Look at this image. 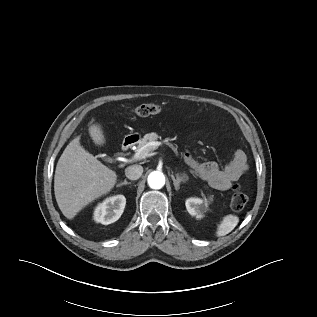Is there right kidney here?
I'll use <instances>...</instances> for the list:
<instances>
[{
	"instance_id": "ca27d5eb",
	"label": "right kidney",
	"mask_w": 317,
	"mask_h": 317,
	"mask_svg": "<svg viewBox=\"0 0 317 317\" xmlns=\"http://www.w3.org/2000/svg\"><path fill=\"white\" fill-rule=\"evenodd\" d=\"M126 198L123 195H116L106 198L94 210V220L104 225L117 221L125 208Z\"/></svg>"
}]
</instances>
